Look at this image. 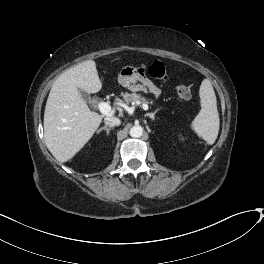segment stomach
<instances>
[{"mask_svg": "<svg viewBox=\"0 0 264 264\" xmlns=\"http://www.w3.org/2000/svg\"><path fill=\"white\" fill-rule=\"evenodd\" d=\"M142 79V74L139 68L127 65L122 67L118 75V82L129 90H137L135 85L139 80Z\"/></svg>", "mask_w": 264, "mask_h": 264, "instance_id": "stomach-1", "label": "stomach"}]
</instances>
